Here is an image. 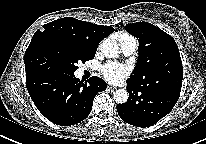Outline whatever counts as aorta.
Wrapping results in <instances>:
<instances>
[{"label": "aorta", "instance_id": "obj_1", "mask_svg": "<svg viewBox=\"0 0 206 144\" xmlns=\"http://www.w3.org/2000/svg\"><path fill=\"white\" fill-rule=\"evenodd\" d=\"M101 51L107 58H117L119 55L118 44L111 39H106L101 44ZM129 97L128 92L125 89H118L114 92V100L117 104H124Z\"/></svg>", "mask_w": 206, "mask_h": 144}]
</instances>
